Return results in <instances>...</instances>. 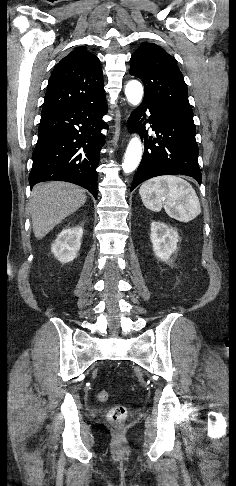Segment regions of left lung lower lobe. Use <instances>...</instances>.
I'll use <instances>...</instances> for the list:
<instances>
[{
    "instance_id": "1",
    "label": "left lung lower lobe",
    "mask_w": 236,
    "mask_h": 486,
    "mask_svg": "<svg viewBox=\"0 0 236 486\" xmlns=\"http://www.w3.org/2000/svg\"><path fill=\"white\" fill-rule=\"evenodd\" d=\"M151 113L145 120L155 131L156 137L148 139V131L142 125L145 112ZM145 122L143 123L145 125ZM130 131L144 135V154L134 175L131 191L140 183L160 175L182 174L193 177L200 184L198 145L194 122L178 118L161 108L156 102L144 99L129 118Z\"/></svg>"
}]
</instances>
